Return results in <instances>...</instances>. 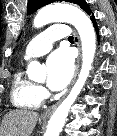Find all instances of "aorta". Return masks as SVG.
Instances as JSON below:
<instances>
[{
	"mask_svg": "<svg viewBox=\"0 0 117 136\" xmlns=\"http://www.w3.org/2000/svg\"><path fill=\"white\" fill-rule=\"evenodd\" d=\"M51 22H68L77 29L82 44V67L78 79L69 95L54 111L49 120L45 136H59L69 110L83 88L96 51V34L89 17L80 9L65 4L48 5L41 9L34 18V27L40 28ZM45 71V68L38 61H31L27 67V74L30 78H36Z\"/></svg>",
	"mask_w": 117,
	"mask_h": 136,
	"instance_id": "obj_1",
	"label": "aorta"
}]
</instances>
